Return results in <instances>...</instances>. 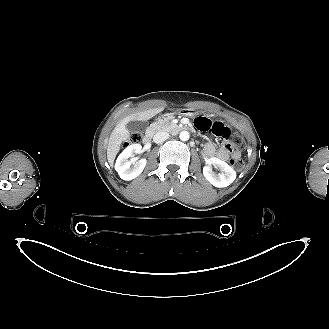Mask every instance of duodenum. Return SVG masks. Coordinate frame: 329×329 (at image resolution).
Instances as JSON below:
<instances>
[{"instance_id": "1", "label": "duodenum", "mask_w": 329, "mask_h": 329, "mask_svg": "<svg viewBox=\"0 0 329 329\" xmlns=\"http://www.w3.org/2000/svg\"><path fill=\"white\" fill-rule=\"evenodd\" d=\"M172 114H173V111H171V110H167L165 112V115H167V116L172 115ZM151 138H152V133L151 132L146 133V135L143 137V143L145 145H148L151 142Z\"/></svg>"}]
</instances>
